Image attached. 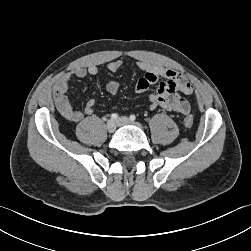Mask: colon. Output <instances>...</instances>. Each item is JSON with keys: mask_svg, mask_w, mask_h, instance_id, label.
<instances>
[{"mask_svg": "<svg viewBox=\"0 0 251 251\" xmlns=\"http://www.w3.org/2000/svg\"><path fill=\"white\" fill-rule=\"evenodd\" d=\"M193 123H194V120H193L192 116H186L184 118V125L186 127H188V128L192 127Z\"/></svg>", "mask_w": 251, "mask_h": 251, "instance_id": "5ec220e1", "label": "colon"}]
</instances>
